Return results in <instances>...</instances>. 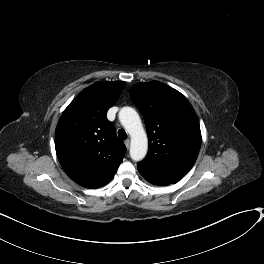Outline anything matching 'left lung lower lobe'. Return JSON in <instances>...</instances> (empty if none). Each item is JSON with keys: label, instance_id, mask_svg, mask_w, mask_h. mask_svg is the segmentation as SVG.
<instances>
[{"label": "left lung lower lobe", "instance_id": "obj_1", "mask_svg": "<svg viewBox=\"0 0 264 264\" xmlns=\"http://www.w3.org/2000/svg\"><path fill=\"white\" fill-rule=\"evenodd\" d=\"M148 182H150L151 184H154V185H160V186H166V185H169L171 183H168V182H164V181H160V180H156V179H153V178H150L149 176L143 174V173H140Z\"/></svg>", "mask_w": 264, "mask_h": 264}]
</instances>
